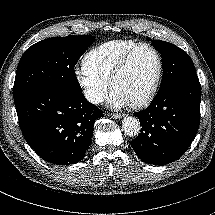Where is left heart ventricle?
<instances>
[{"label":"left heart ventricle","instance_id":"obj_1","mask_svg":"<svg viewBox=\"0 0 215 215\" xmlns=\"http://www.w3.org/2000/svg\"><path fill=\"white\" fill-rule=\"evenodd\" d=\"M157 70V59L148 47L139 48L113 87V94L127 104L141 99L147 92Z\"/></svg>","mask_w":215,"mask_h":215}]
</instances>
